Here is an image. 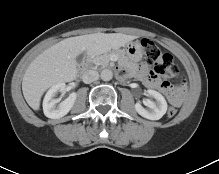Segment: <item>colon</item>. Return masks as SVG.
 <instances>
[{
    "label": "colon",
    "mask_w": 219,
    "mask_h": 174,
    "mask_svg": "<svg viewBox=\"0 0 219 174\" xmlns=\"http://www.w3.org/2000/svg\"><path fill=\"white\" fill-rule=\"evenodd\" d=\"M142 46L145 52L146 64L151 66L154 73L165 79L183 81L178 65L174 62L173 57L168 53H163L150 40L144 39ZM177 114V109L170 107L167 115L173 118Z\"/></svg>",
    "instance_id": "obj_1"
}]
</instances>
